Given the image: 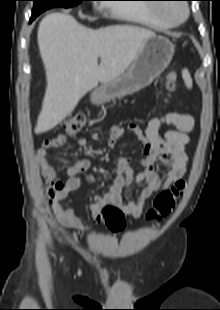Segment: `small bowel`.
Wrapping results in <instances>:
<instances>
[{
  "label": "small bowel",
  "instance_id": "obj_1",
  "mask_svg": "<svg viewBox=\"0 0 220 310\" xmlns=\"http://www.w3.org/2000/svg\"><path fill=\"white\" fill-rule=\"evenodd\" d=\"M162 125L175 127L169 130L164 136H161L159 130ZM194 127V119L185 112H169L163 116L152 118L145 126L140 124H131L127 129L113 125L106 138V144L112 148L126 131L135 135L143 144L141 164L142 170L137 171L132 160L126 157L114 156L117 176L113 184L103 195H97L89 203L88 209L91 213L93 222L99 223L101 220L100 212L106 205L117 206L125 215L138 219L144 210L146 201L155 192L170 188L185 175L188 156L186 146L189 143L188 133ZM80 147H86L88 140L81 137L77 141ZM67 139L65 135L59 134L54 138L45 140L37 150L36 158L44 173L48 177H56L55 170L49 160L51 149L65 146ZM68 148H71L68 145ZM159 160L168 165V172L160 176L154 169V163ZM91 165L89 159H78L67 170V179L64 182L63 189L55 195L53 211L59 222L66 228L87 231L89 227L85 226L81 219L75 214L74 210L66 207L64 202H70L69 193L77 190L83 181L92 184L93 177L85 173ZM132 183H144V187L135 198L127 202L123 201L122 189Z\"/></svg>",
  "mask_w": 220,
  "mask_h": 310
}]
</instances>
